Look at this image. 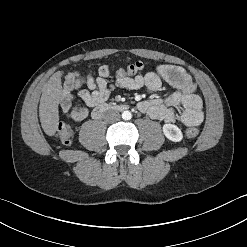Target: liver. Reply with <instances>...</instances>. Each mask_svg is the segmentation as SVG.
<instances>
[{"label":"liver","mask_w":247,"mask_h":247,"mask_svg":"<svg viewBox=\"0 0 247 247\" xmlns=\"http://www.w3.org/2000/svg\"><path fill=\"white\" fill-rule=\"evenodd\" d=\"M62 72L53 74L44 85L39 105L41 126L48 136H53L59 123L58 104L62 96Z\"/></svg>","instance_id":"obj_1"}]
</instances>
